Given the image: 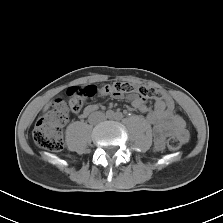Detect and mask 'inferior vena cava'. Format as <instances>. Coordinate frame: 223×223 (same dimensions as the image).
<instances>
[{
  "instance_id": "1",
  "label": "inferior vena cava",
  "mask_w": 223,
  "mask_h": 223,
  "mask_svg": "<svg viewBox=\"0 0 223 223\" xmlns=\"http://www.w3.org/2000/svg\"><path fill=\"white\" fill-rule=\"evenodd\" d=\"M104 114L101 112H95L90 116V120L93 121L95 118H97L99 121L104 119Z\"/></svg>"
}]
</instances>
